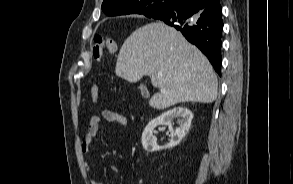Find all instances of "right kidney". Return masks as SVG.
Wrapping results in <instances>:
<instances>
[{
  "mask_svg": "<svg viewBox=\"0 0 293 184\" xmlns=\"http://www.w3.org/2000/svg\"><path fill=\"white\" fill-rule=\"evenodd\" d=\"M177 119L179 125L175 129L172 127V120ZM193 119L192 112L186 107H177L162 113L157 118L151 120L145 127L142 134V146L146 151L154 152L161 149L173 148L178 145L190 129ZM158 125H166L171 133V140L165 146L157 145V138L153 135V130Z\"/></svg>",
  "mask_w": 293,
  "mask_h": 184,
  "instance_id": "1",
  "label": "right kidney"
}]
</instances>
